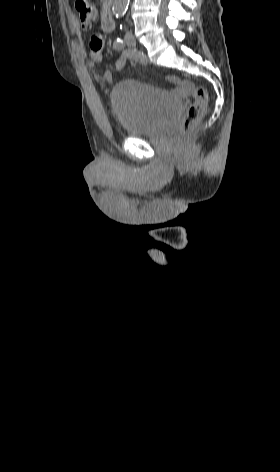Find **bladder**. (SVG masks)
I'll use <instances>...</instances> for the list:
<instances>
[{
    "label": "bladder",
    "mask_w": 280,
    "mask_h": 472,
    "mask_svg": "<svg viewBox=\"0 0 280 472\" xmlns=\"http://www.w3.org/2000/svg\"><path fill=\"white\" fill-rule=\"evenodd\" d=\"M179 107V100L169 91L141 81L120 82L111 95V110L118 125L133 137L156 130Z\"/></svg>",
    "instance_id": "obj_1"
}]
</instances>
